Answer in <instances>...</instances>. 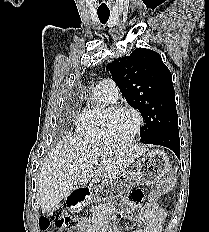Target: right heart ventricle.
Instances as JSON below:
<instances>
[{
  "instance_id": "obj_1",
  "label": "right heart ventricle",
  "mask_w": 209,
  "mask_h": 232,
  "mask_svg": "<svg viewBox=\"0 0 209 232\" xmlns=\"http://www.w3.org/2000/svg\"><path fill=\"white\" fill-rule=\"evenodd\" d=\"M113 102L104 93L94 91L92 103L79 114L76 121V130L81 138L92 143L108 141L103 130V115Z\"/></svg>"
}]
</instances>
